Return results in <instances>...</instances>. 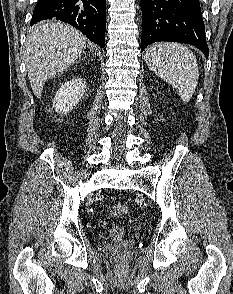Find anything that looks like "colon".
I'll list each match as a JSON object with an SVG mask.
<instances>
[{
  "mask_svg": "<svg viewBox=\"0 0 233 294\" xmlns=\"http://www.w3.org/2000/svg\"><path fill=\"white\" fill-rule=\"evenodd\" d=\"M128 211V207L125 204H114L111 208H110V215L113 218H119L123 215H125Z\"/></svg>",
  "mask_w": 233,
  "mask_h": 294,
  "instance_id": "colon-1",
  "label": "colon"
}]
</instances>
